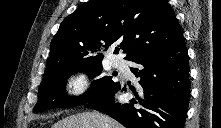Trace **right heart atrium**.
<instances>
[{"label": "right heart atrium", "mask_w": 221, "mask_h": 128, "mask_svg": "<svg viewBox=\"0 0 221 128\" xmlns=\"http://www.w3.org/2000/svg\"><path fill=\"white\" fill-rule=\"evenodd\" d=\"M87 87V77L83 73L74 74L69 79L66 92L69 96L76 97L82 94Z\"/></svg>", "instance_id": "right-heart-atrium-1"}]
</instances>
